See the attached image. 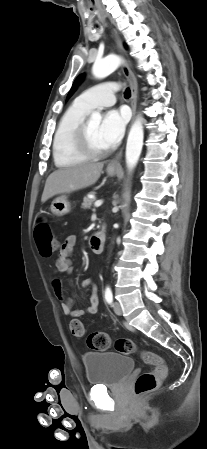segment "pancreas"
<instances>
[{"instance_id":"pancreas-1","label":"pancreas","mask_w":207,"mask_h":449,"mask_svg":"<svg viewBox=\"0 0 207 449\" xmlns=\"http://www.w3.org/2000/svg\"><path fill=\"white\" fill-rule=\"evenodd\" d=\"M93 202H94V199H91V198H89V197H85L84 199H83V203H82V208L83 209H90L91 208V206H92V204H93Z\"/></svg>"}]
</instances>
